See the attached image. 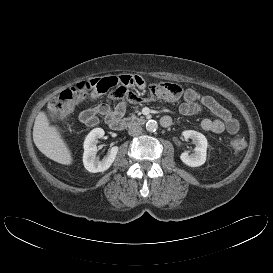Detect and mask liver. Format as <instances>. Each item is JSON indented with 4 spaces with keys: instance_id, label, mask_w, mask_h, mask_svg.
I'll return each mask as SVG.
<instances>
[{
    "instance_id": "6515ba94",
    "label": "liver",
    "mask_w": 273,
    "mask_h": 273,
    "mask_svg": "<svg viewBox=\"0 0 273 273\" xmlns=\"http://www.w3.org/2000/svg\"><path fill=\"white\" fill-rule=\"evenodd\" d=\"M33 141L48 158L63 165H71L73 158L57 126L51 125L47 114L40 111L33 127Z\"/></svg>"
}]
</instances>
